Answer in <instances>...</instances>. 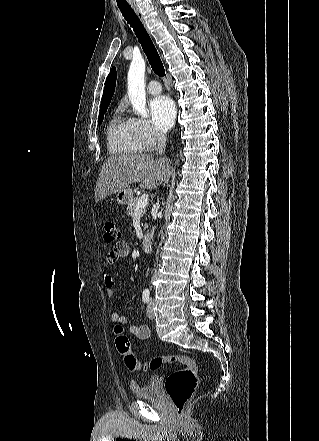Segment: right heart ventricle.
I'll use <instances>...</instances> for the list:
<instances>
[{
	"label": "right heart ventricle",
	"mask_w": 319,
	"mask_h": 441,
	"mask_svg": "<svg viewBox=\"0 0 319 441\" xmlns=\"http://www.w3.org/2000/svg\"><path fill=\"white\" fill-rule=\"evenodd\" d=\"M107 145L113 154H135L140 150L136 146L130 130L129 119L115 112L107 128Z\"/></svg>",
	"instance_id": "obj_1"
}]
</instances>
